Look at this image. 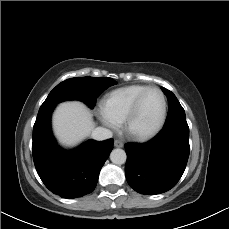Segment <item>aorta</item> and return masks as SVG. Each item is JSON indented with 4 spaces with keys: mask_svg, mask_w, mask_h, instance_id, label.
I'll return each mask as SVG.
<instances>
[{
    "mask_svg": "<svg viewBox=\"0 0 229 229\" xmlns=\"http://www.w3.org/2000/svg\"><path fill=\"white\" fill-rule=\"evenodd\" d=\"M112 163L122 165L126 162V153L123 149H114L110 154Z\"/></svg>",
    "mask_w": 229,
    "mask_h": 229,
    "instance_id": "aorta-1",
    "label": "aorta"
}]
</instances>
